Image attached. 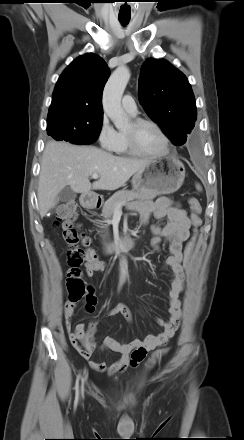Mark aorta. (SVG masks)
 <instances>
[{
    "instance_id": "762f6f07",
    "label": "aorta",
    "mask_w": 244,
    "mask_h": 440,
    "mask_svg": "<svg viewBox=\"0 0 244 440\" xmlns=\"http://www.w3.org/2000/svg\"><path fill=\"white\" fill-rule=\"evenodd\" d=\"M130 79V71L126 66H119L110 76L103 92V108L117 129L127 124L126 115L121 106V99ZM127 259L122 257L120 263V279L125 280L128 272Z\"/></svg>"
}]
</instances>
